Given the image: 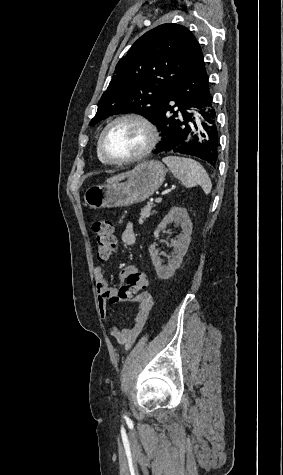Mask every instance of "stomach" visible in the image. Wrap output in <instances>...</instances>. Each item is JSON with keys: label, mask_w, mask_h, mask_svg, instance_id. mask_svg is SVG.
Wrapping results in <instances>:
<instances>
[{"label": "stomach", "mask_w": 283, "mask_h": 475, "mask_svg": "<svg viewBox=\"0 0 283 475\" xmlns=\"http://www.w3.org/2000/svg\"><path fill=\"white\" fill-rule=\"evenodd\" d=\"M167 170L158 160H143L128 176L127 182L93 186L84 194L87 206L98 208H123L144 202L162 186Z\"/></svg>", "instance_id": "0dacf381"}]
</instances>
